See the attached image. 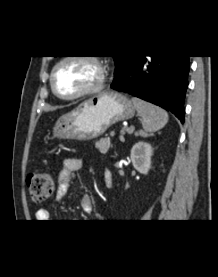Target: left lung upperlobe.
I'll list each match as a JSON object with an SVG mask.
<instances>
[{
    "label": "left lung upper lobe",
    "mask_w": 218,
    "mask_h": 277,
    "mask_svg": "<svg viewBox=\"0 0 218 277\" xmlns=\"http://www.w3.org/2000/svg\"><path fill=\"white\" fill-rule=\"evenodd\" d=\"M114 58L116 69H115V76L124 70L127 63L131 59L132 56H112Z\"/></svg>",
    "instance_id": "5c2ea615"
}]
</instances>
